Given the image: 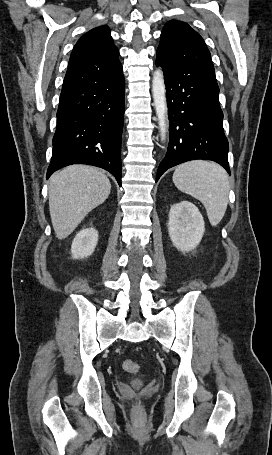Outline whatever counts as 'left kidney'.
Here are the masks:
<instances>
[{"label":"left kidney","instance_id":"5707ae66","mask_svg":"<svg viewBox=\"0 0 272 455\" xmlns=\"http://www.w3.org/2000/svg\"><path fill=\"white\" fill-rule=\"evenodd\" d=\"M204 225L203 217L194 204L182 201L171 207L168 232L178 250L189 252L195 249L203 237Z\"/></svg>","mask_w":272,"mask_h":455}]
</instances>
